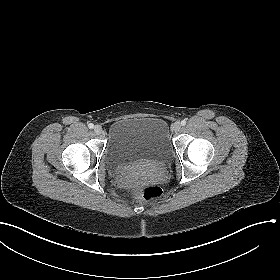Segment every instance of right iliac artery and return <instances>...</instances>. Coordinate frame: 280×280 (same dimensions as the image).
Listing matches in <instances>:
<instances>
[{
	"label": "right iliac artery",
	"instance_id": "1",
	"mask_svg": "<svg viewBox=\"0 0 280 280\" xmlns=\"http://www.w3.org/2000/svg\"><path fill=\"white\" fill-rule=\"evenodd\" d=\"M88 127H89L90 129H93V128H94V125H93L92 123H90V124H88Z\"/></svg>",
	"mask_w": 280,
	"mask_h": 280
}]
</instances>
